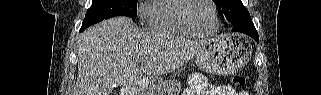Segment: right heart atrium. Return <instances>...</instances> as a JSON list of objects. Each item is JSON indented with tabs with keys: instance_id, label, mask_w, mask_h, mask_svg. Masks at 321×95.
Listing matches in <instances>:
<instances>
[{
	"instance_id": "right-heart-atrium-1",
	"label": "right heart atrium",
	"mask_w": 321,
	"mask_h": 95,
	"mask_svg": "<svg viewBox=\"0 0 321 95\" xmlns=\"http://www.w3.org/2000/svg\"><path fill=\"white\" fill-rule=\"evenodd\" d=\"M150 4L148 2L141 3L138 5L137 14L140 18H146L149 13Z\"/></svg>"
}]
</instances>
